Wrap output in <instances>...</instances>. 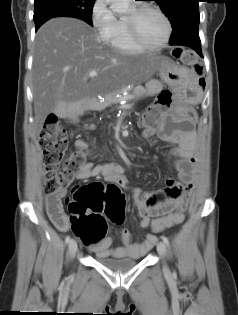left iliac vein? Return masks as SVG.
Returning a JSON list of instances; mask_svg holds the SVG:
<instances>
[{
	"label": "left iliac vein",
	"mask_w": 238,
	"mask_h": 315,
	"mask_svg": "<svg viewBox=\"0 0 238 315\" xmlns=\"http://www.w3.org/2000/svg\"><path fill=\"white\" fill-rule=\"evenodd\" d=\"M157 250L159 252V254L162 256V257H165L166 255V246H165V243L160 241L157 245ZM164 270L167 271L168 268L166 266V264H164Z\"/></svg>",
	"instance_id": "1"
}]
</instances>
